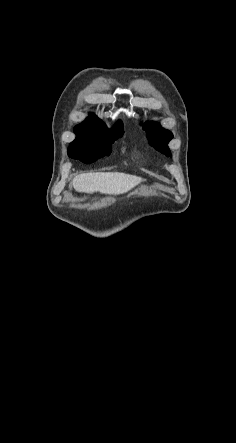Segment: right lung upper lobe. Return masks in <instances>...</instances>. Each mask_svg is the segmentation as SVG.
Wrapping results in <instances>:
<instances>
[{
  "instance_id": "right-lung-upper-lobe-1",
  "label": "right lung upper lobe",
  "mask_w": 236,
  "mask_h": 443,
  "mask_svg": "<svg viewBox=\"0 0 236 443\" xmlns=\"http://www.w3.org/2000/svg\"><path fill=\"white\" fill-rule=\"evenodd\" d=\"M86 120H99V119L94 114H90V116Z\"/></svg>"
}]
</instances>
